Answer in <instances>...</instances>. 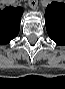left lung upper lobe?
<instances>
[{
    "label": "left lung upper lobe",
    "instance_id": "1",
    "mask_svg": "<svg viewBox=\"0 0 65 89\" xmlns=\"http://www.w3.org/2000/svg\"><path fill=\"white\" fill-rule=\"evenodd\" d=\"M45 25L49 37L58 45H65V4L52 2L45 11Z\"/></svg>",
    "mask_w": 65,
    "mask_h": 89
}]
</instances>
